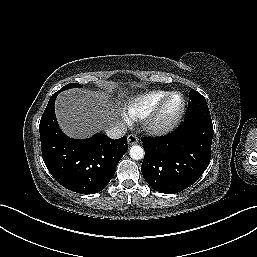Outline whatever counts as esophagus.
I'll return each mask as SVG.
<instances>
[{
	"instance_id": "34e87169",
	"label": "esophagus",
	"mask_w": 257,
	"mask_h": 257,
	"mask_svg": "<svg viewBox=\"0 0 257 257\" xmlns=\"http://www.w3.org/2000/svg\"><path fill=\"white\" fill-rule=\"evenodd\" d=\"M139 142L138 137L135 134H129L127 137V143L129 145H134L137 144Z\"/></svg>"
}]
</instances>
